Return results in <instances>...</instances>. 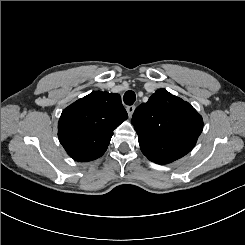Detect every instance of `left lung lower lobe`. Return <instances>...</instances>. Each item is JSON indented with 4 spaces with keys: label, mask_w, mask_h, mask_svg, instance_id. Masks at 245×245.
<instances>
[{
    "label": "left lung lower lobe",
    "mask_w": 245,
    "mask_h": 245,
    "mask_svg": "<svg viewBox=\"0 0 245 245\" xmlns=\"http://www.w3.org/2000/svg\"><path fill=\"white\" fill-rule=\"evenodd\" d=\"M170 162H173V160L165 159V160H161L158 164H166V163H170Z\"/></svg>",
    "instance_id": "left-lung-lower-lobe-1"
}]
</instances>
